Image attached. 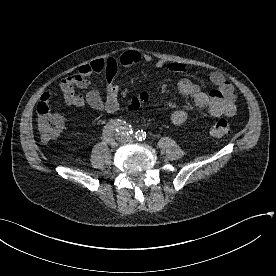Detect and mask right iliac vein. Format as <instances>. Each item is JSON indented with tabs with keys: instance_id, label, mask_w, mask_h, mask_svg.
<instances>
[{
	"instance_id": "right-iliac-vein-1",
	"label": "right iliac vein",
	"mask_w": 276,
	"mask_h": 276,
	"mask_svg": "<svg viewBox=\"0 0 276 276\" xmlns=\"http://www.w3.org/2000/svg\"><path fill=\"white\" fill-rule=\"evenodd\" d=\"M117 140H118L117 137H116V139H114V138L110 139L109 143H110V145H111L112 148H115V147L118 146Z\"/></svg>"
}]
</instances>
